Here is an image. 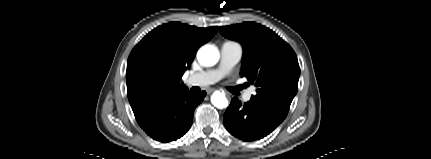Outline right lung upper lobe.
Wrapping results in <instances>:
<instances>
[{"instance_id": "1", "label": "right lung upper lobe", "mask_w": 431, "mask_h": 159, "mask_svg": "<svg viewBox=\"0 0 431 159\" xmlns=\"http://www.w3.org/2000/svg\"><path fill=\"white\" fill-rule=\"evenodd\" d=\"M218 27L197 28L180 22L163 24L149 32L127 61V94L135 117L187 89L180 82L198 48Z\"/></svg>"}]
</instances>
